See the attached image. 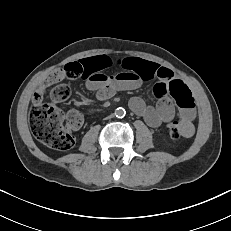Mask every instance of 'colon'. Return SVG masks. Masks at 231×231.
<instances>
[{"label":"colon","mask_w":231,"mask_h":231,"mask_svg":"<svg viewBox=\"0 0 231 231\" xmlns=\"http://www.w3.org/2000/svg\"><path fill=\"white\" fill-rule=\"evenodd\" d=\"M68 78L80 77L82 68L78 63H68L64 67ZM71 89L67 84H57L51 88L49 96L53 102L65 101L69 98ZM82 115L75 110L64 114L53 104L44 102H33L29 113V122L33 135L46 146L66 151L73 147L74 137L71 130L81 126ZM169 134L172 139L182 136V127L179 122L169 125Z\"/></svg>","instance_id":"obj_1"}]
</instances>
